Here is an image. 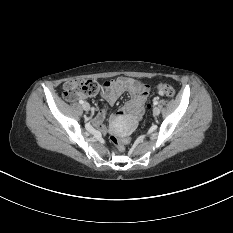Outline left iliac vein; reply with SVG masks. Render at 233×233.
Masks as SVG:
<instances>
[{
  "label": "left iliac vein",
  "mask_w": 233,
  "mask_h": 233,
  "mask_svg": "<svg viewBox=\"0 0 233 233\" xmlns=\"http://www.w3.org/2000/svg\"><path fill=\"white\" fill-rule=\"evenodd\" d=\"M160 114V108L159 107H154L153 108V115L158 116Z\"/></svg>",
  "instance_id": "1"
}]
</instances>
